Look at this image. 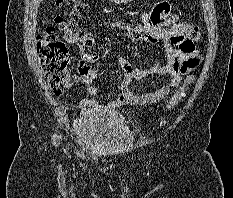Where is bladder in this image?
<instances>
[{
    "label": "bladder",
    "instance_id": "31cf9c89",
    "mask_svg": "<svg viewBox=\"0 0 233 198\" xmlns=\"http://www.w3.org/2000/svg\"><path fill=\"white\" fill-rule=\"evenodd\" d=\"M75 134L84 148L114 151L128 147L133 134L117 112L83 111L76 119Z\"/></svg>",
    "mask_w": 233,
    "mask_h": 198
}]
</instances>
